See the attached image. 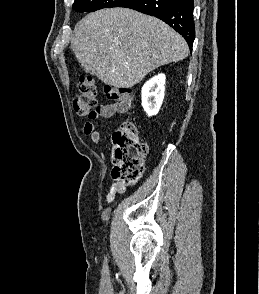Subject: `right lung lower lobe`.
<instances>
[{"mask_svg": "<svg viewBox=\"0 0 259 294\" xmlns=\"http://www.w3.org/2000/svg\"><path fill=\"white\" fill-rule=\"evenodd\" d=\"M194 0H128L119 7H126L155 16L181 34L192 50L195 39L193 19Z\"/></svg>", "mask_w": 259, "mask_h": 294, "instance_id": "1", "label": "right lung lower lobe"}]
</instances>
